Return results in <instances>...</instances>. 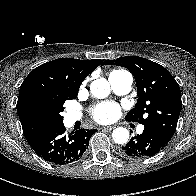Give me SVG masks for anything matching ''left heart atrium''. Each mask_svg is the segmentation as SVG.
Here are the masks:
<instances>
[{
    "label": "left heart atrium",
    "mask_w": 196,
    "mask_h": 196,
    "mask_svg": "<svg viewBox=\"0 0 196 196\" xmlns=\"http://www.w3.org/2000/svg\"><path fill=\"white\" fill-rule=\"evenodd\" d=\"M119 106L114 102H103L92 108V117L99 123H109L118 117Z\"/></svg>",
    "instance_id": "1"
}]
</instances>
